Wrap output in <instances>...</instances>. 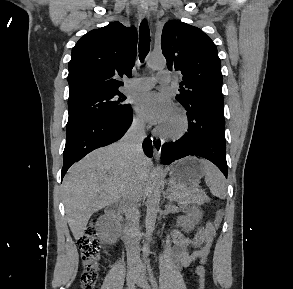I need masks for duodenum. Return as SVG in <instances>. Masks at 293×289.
I'll return each instance as SVG.
<instances>
[{
	"instance_id": "duodenum-1",
	"label": "duodenum",
	"mask_w": 293,
	"mask_h": 289,
	"mask_svg": "<svg viewBox=\"0 0 293 289\" xmlns=\"http://www.w3.org/2000/svg\"><path fill=\"white\" fill-rule=\"evenodd\" d=\"M122 209L123 208L120 205H112L108 208V213L114 217L122 219ZM122 226V239L128 241L131 239V224L129 222H123Z\"/></svg>"
}]
</instances>
